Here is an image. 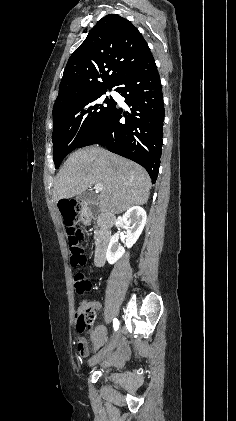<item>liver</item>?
Masks as SVG:
<instances>
[{"instance_id":"6515ba94","label":"liver","mask_w":236,"mask_h":421,"mask_svg":"<svg viewBox=\"0 0 236 421\" xmlns=\"http://www.w3.org/2000/svg\"><path fill=\"white\" fill-rule=\"evenodd\" d=\"M91 184L103 186L98 194L101 211L119 215L131 206L147 202L151 178L133 160L100 146H89L75 150L65 160L55 176L53 196L55 200L71 198Z\"/></svg>"}]
</instances>
